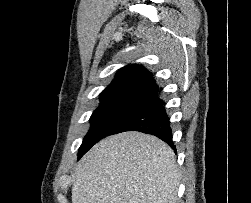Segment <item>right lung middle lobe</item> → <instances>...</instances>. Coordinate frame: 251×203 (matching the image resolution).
<instances>
[{
  "label": "right lung middle lobe",
  "instance_id": "dd1d6c3e",
  "mask_svg": "<svg viewBox=\"0 0 251 203\" xmlns=\"http://www.w3.org/2000/svg\"><path fill=\"white\" fill-rule=\"evenodd\" d=\"M140 112H142L141 109L133 107H98L90 118L91 128L79 148L78 159L99 140L111 135L117 127Z\"/></svg>",
  "mask_w": 251,
  "mask_h": 203
}]
</instances>
